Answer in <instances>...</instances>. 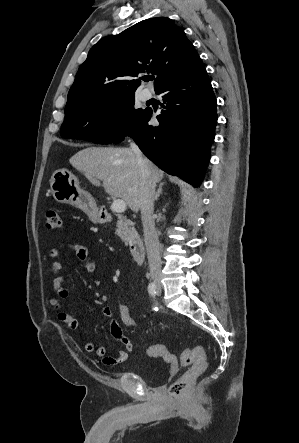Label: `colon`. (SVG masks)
Listing matches in <instances>:
<instances>
[{
    "label": "colon",
    "instance_id": "5ec220e1",
    "mask_svg": "<svg viewBox=\"0 0 299 443\" xmlns=\"http://www.w3.org/2000/svg\"><path fill=\"white\" fill-rule=\"evenodd\" d=\"M45 217L47 228L55 229L61 226V218L56 210H48ZM119 320L122 326L129 332L136 333L140 329V325L135 314L127 306H122L120 308ZM145 352L150 357L161 358L164 362L170 365L173 371H177L179 364L183 366H190V368L181 377H179L169 386L168 392L173 397L181 396L191 385V383L207 368L206 355L201 346L185 349L182 351L179 360L175 355L171 354L163 345L160 344L148 345L145 348Z\"/></svg>",
    "mask_w": 299,
    "mask_h": 443
}]
</instances>
